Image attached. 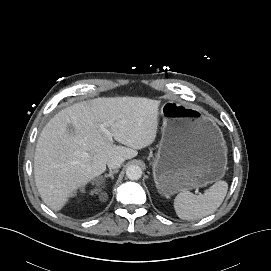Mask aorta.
Instances as JSON below:
<instances>
[{
	"mask_svg": "<svg viewBox=\"0 0 271 271\" xmlns=\"http://www.w3.org/2000/svg\"><path fill=\"white\" fill-rule=\"evenodd\" d=\"M126 176L130 180H139L142 176V169L138 165H130L126 169Z\"/></svg>",
	"mask_w": 271,
	"mask_h": 271,
	"instance_id": "obj_1",
	"label": "aorta"
}]
</instances>
